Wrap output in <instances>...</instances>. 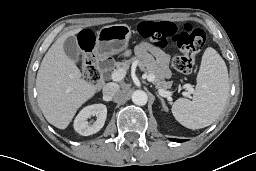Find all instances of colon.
Segmentation results:
<instances>
[{
  "mask_svg": "<svg viewBox=\"0 0 256 171\" xmlns=\"http://www.w3.org/2000/svg\"><path fill=\"white\" fill-rule=\"evenodd\" d=\"M138 30L141 38L155 48L162 49L170 42L175 43L180 50V55L173 59L172 65L182 74L192 72L196 56L202 50L206 40L202 29L188 23L177 25L170 21H142ZM94 41V34L90 30H82L79 34L78 42L82 50L81 68L83 75L90 82H97L101 75L93 54Z\"/></svg>",
  "mask_w": 256,
  "mask_h": 171,
  "instance_id": "5ec220e1",
  "label": "colon"
}]
</instances>
